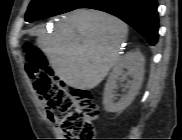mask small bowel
I'll list each match as a JSON object with an SVG mask.
<instances>
[{
    "instance_id": "small-bowel-1",
    "label": "small bowel",
    "mask_w": 182,
    "mask_h": 140,
    "mask_svg": "<svg viewBox=\"0 0 182 140\" xmlns=\"http://www.w3.org/2000/svg\"><path fill=\"white\" fill-rule=\"evenodd\" d=\"M46 115L48 117V119L52 122H56L57 121V117L55 115V113L53 112V110L51 109H47L46 110Z\"/></svg>"
}]
</instances>
